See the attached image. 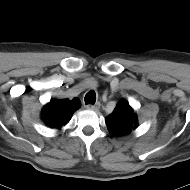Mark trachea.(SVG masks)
<instances>
[{
  "instance_id": "trachea-1",
  "label": "trachea",
  "mask_w": 190,
  "mask_h": 190,
  "mask_svg": "<svg viewBox=\"0 0 190 190\" xmlns=\"http://www.w3.org/2000/svg\"><path fill=\"white\" fill-rule=\"evenodd\" d=\"M96 102V94L93 90L89 91L86 95H85V104H91L94 105Z\"/></svg>"
}]
</instances>
